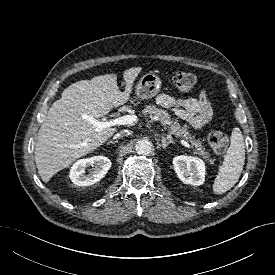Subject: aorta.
Listing matches in <instances>:
<instances>
[{
  "mask_svg": "<svg viewBox=\"0 0 275 275\" xmlns=\"http://www.w3.org/2000/svg\"><path fill=\"white\" fill-rule=\"evenodd\" d=\"M152 143L148 139L138 140L135 144V150L138 154L148 155L152 150Z\"/></svg>",
  "mask_w": 275,
  "mask_h": 275,
  "instance_id": "obj_1",
  "label": "aorta"
}]
</instances>
